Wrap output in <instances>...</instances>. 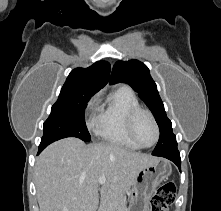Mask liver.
I'll return each mask as SVG.
<instances>
[{
	"instance_id": "obj_1",
	"label": "liver",
	"mask_w": 221,
	"mask_h": 211,
	"mask_svg": "<svg viewBox=\"0 0 221 211\" xmlns=\"http://www.w3.org/2000/svg\"><path fill=\"white\" fill-rule=\"evenodd\" d=\"M155 158L107 143L86 145L66 138L36 159L35 185L40 211H96L104 201L130 190L138 171ZM106 181L98 188V179Z\"/></svg>"
}]
</instances>
